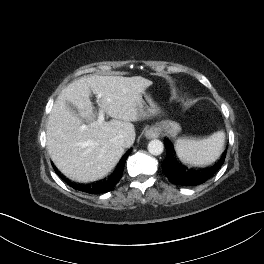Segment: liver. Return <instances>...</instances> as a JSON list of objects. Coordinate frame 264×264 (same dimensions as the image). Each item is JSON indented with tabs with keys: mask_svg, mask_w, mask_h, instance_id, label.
Returning a JSON list of instances; mask_svg holds the SVG:
<instances>
[{
	"mask_svg": "<svg viewBox=\"0 0 264 264\" xmlns=\"http://www.w3.org/2000/svg\"><path fill=\"white\" fill-rule=\"evenodd\" d=\"M152 81L141 76H84L62 90L51 110L46 131L48 153L55 166L67 177L81 182L99 179L119 162L124 147L135 140L132 122L146 115L142 94ZM91 92L100 110L113 119L99 125L95 120ZM68 103L72 104L73 111ZM88 123L82 129L83 122ZM126 139V146L113 141Z\"/></svg>",
	"mask_w": 264,
	"mask_h": 264,
	"instance_id": "6515ba94",
	"label": "liver"
}]
</instances>
